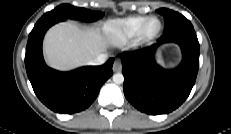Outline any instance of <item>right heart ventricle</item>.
<instances>
[{
  "instance_id": "obj_1",
  "label": "right heart ventricle",
  "mask_w": 231,
  "mask_h": 134,
  "mask_svg": "<svg viewBox=\"0 0 231 134\" xmlns=\"http://www.w3.org/2000/svg\"><path fill=\"white\" fill-rule=\"evenodd\" d=\"M147 16H131L122 19H114L106 22L104 32L113 39L128 40L135 37Z\"/></svg>"
}]
</instances>
